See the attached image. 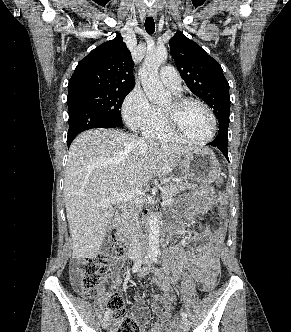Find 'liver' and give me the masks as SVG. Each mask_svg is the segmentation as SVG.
<instances>
[{
    "label": "liver",
    "mask_w": 291,
    "mask_h": 332,
    "mask_svg": "<svg viewBox=\"0 0 291 332\" xmlns=\"http://www.w3.org/2000/svg\"><path fill=\"white\" fill-rule=\"evenodd\" d=\"M198 147L147 142L117 129H92L72 142L64 175V201L73 257L94 258L101 248L114 204L124 191L141 189L154 176H166Z\"/></svg>",
    "instance_id": "liver-1"
}]
</instances>
